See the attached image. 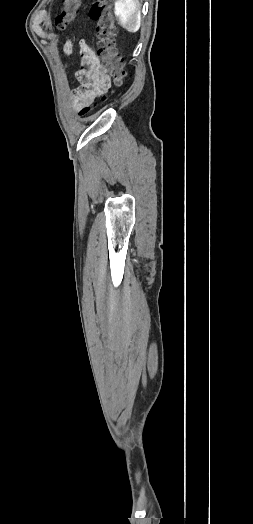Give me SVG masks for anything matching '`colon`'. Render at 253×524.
<instances>
[{
	"instance_id": "colon-1",
	"label": "colon",
	"mask_w": 253,
	"mask_h": 524,
	"mask_svg": "<svg viewBox=\"0 0 253 524\" xmlns=\"http://www.w3.org/2000/svg\"><path fill=\"white\" fill-rule=\"evenodd\" d=\"M80 6V0H62L61 9L56 17L58 29H65L74 20ZM112 0H96L90 10L91 18L97 23L98 52L105 65V74L114 87L124 84L126 72L124 60L116 46L117 30L112 15ZM88 112L86 108L81 115Z\"/></svg>"
}]
</instances>
